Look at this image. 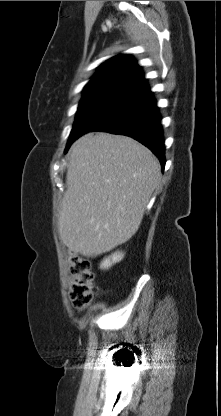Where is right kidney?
<instances>
[{
  "mask_svg": "<svg viewBox=\"0 0 221 416\" xmlns=\"http://www.w3.org/2000/svg\"><path fill=\"white\" fill-rule=\"evenodd\" d=\"M123 254L122 253H115L113 254L111 257L105 259L102 264H101V268L102 269H108L109 267H111L114 263H117L119 261L122 260L123 258Z\"/></svg>",
  "mask_w": 221,
  "mask_h": 416,
  "instance_id": "1",
  "label": "right kidney"
}]
</instances>
